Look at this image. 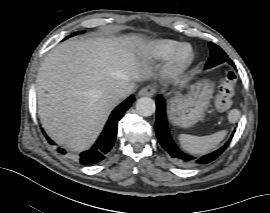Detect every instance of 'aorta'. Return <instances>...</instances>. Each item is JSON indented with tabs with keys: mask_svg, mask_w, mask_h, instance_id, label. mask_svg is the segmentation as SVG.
Masks as SVG:
<instances>
[{
	"mask_svg": "<svg viewBox=\"0 0 270 213\" xmlns=\"http://www.w3.org/2000/svg\"><path fill=\"white\" fill-rule=\"evenodd\" d=\"M155 109V101L149 97L139 98L136 102V110L142 116H151Z\"/></svg>",
	"mask_w": 270,
	"mask_h": 213,
	"instance_id": "aorta-1",
	"label": "aorta"
}]
</instances>
